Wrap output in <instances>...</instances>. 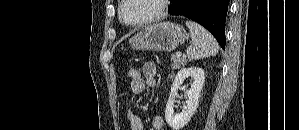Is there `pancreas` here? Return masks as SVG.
I'll use <instances>...</instances> for the list:
<instances>
[{"mask_svg": "<svg viewBox=\"0 0 299 130\" xmlns=\"http://www.w3.org/2000/svg\"><path fill=\"white\" fill-rule=\"evenodd\" d=\"M171 62H172V69H178L181 65L185 63V59H181L177 55L171 56Z\"/></svg>", "mask_w": 299, "mask_h": 130, "instance_id": "pancreas-1", "label": "pancreas"}]
</instances>
